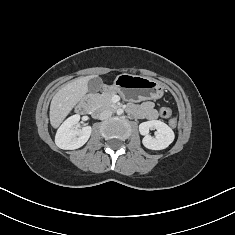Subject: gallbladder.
Masks as SVG:
<instances>
[{
    "label": "gallbladder",
    "instance_id": "1",
    "mask_svg": "<svg viewBox=\"0 0 235 235\" xmlns=\"http://www.w3.org/2000/svg\"><path fill=\"white\" fill-rule=\"evenodd\" d=\"M102 85H103V82L101 78L99 77L91 78L88 81V91L90 93H96L101 89Z\"/></svg>",
    "mask_w": 235,
    "mask_h": 235
}]
</instances>
